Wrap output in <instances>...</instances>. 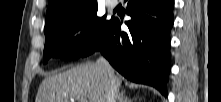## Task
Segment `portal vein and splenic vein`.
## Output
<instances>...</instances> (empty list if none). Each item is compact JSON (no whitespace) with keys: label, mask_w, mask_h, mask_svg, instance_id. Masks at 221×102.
Wrapping results in <instances>:
<instances>
[{"label":"portal vein and splenic vein","mask_w":221,"mask_h":102,"mask_svg":"<svg viewBox=\"0 0 221 102\" xmlns=\"http://www.w3.org/2000/svg\"><path fill=\"white\" fill-rule=\"evenodd\" d=\"M70 99H71L72 102L75 101L74 98H70ZM79 99H80L81 102H87L86 98H84V97H81Z\"/></svg>","instance_id":"1"}]
</instances>
